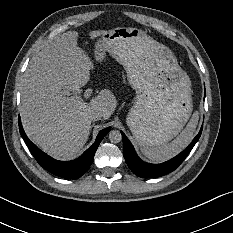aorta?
<instances>
[{
    "mask_svg": "<svg viewBox=\"0 0 233 233\" xmlns=\"http://www.w3.org/2000/svg\"><path fill=\"white\" fill-rule=\"evenodd\" d=\"M122 139V134L119 130H111L109 132V140L113 143H118Z\"/></svg>",
    "mask_w": 233,
    "mask_h": 233,
    "instance_id": "obj_1",
    "label": "aorta"
}]
</instances>
